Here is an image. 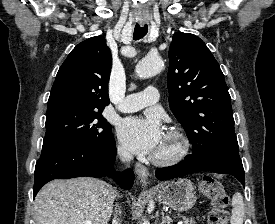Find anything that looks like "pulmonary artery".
Returning a JSON list of instances; mask_svg holds the SVG:
<instances>
[{
    "label": "pulmonary artery",
    "instance_id": "e3ab8cb5",
    "mask_svg": "<svg viewBox=\"0 0 275 224\" xmlns=\"http://www.w3.org/2000/svg\"><path fill=\"white\" fill-rule=\"evenodd\" d=\"M159 99V90L155 87H147L142 92L126 96L118 108L122 112H135L157 103Z\"/></svg>",
    "mask_w": 275,
    "mask_h": 224
}]
</instances>
